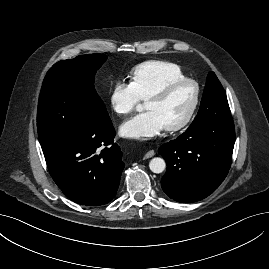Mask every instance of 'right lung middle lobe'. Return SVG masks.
I'll use <instances>...</instances> for the list:
<instances>
[{
    "mask_svg": "<svg viewBox=\"0 0 269 269\" xmlns=\"http://www.w3.org/2000/svg\"><path fill=\"white\" fill-rule=\"evenodd\" d=\"M106 59L103 54L81 55L60 61L47 72L37 112L41 146L111 122L94 87L96 71Z\"/></svg>",
    "mask_w": 269,
    "mask_h": 269,
    "instance_id": "right-lung-middle-lobe-1",
    "label": "right lung middle lobe"
}]
</instances>
